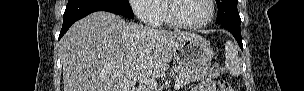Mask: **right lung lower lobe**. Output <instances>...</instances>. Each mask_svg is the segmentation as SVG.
Returning a JSON list of instances; mask_svg holds the SVG:
<instances>
[{"label": "right lung lower lobe", "mask_w": 304, "mask_h": 91, "mask_svg": "<svg viewBox=\"0 0 304 91\" xmlns=\"http://www.w3.org/2000/svg\"><path fill=\"white\" fill-rule=\"evenodd\" d=\"M95 11H107L123 16L112 0H69L64 12L59 39L74 22Z\"/></svg>", "instance_id": "1"}]
</instances>
